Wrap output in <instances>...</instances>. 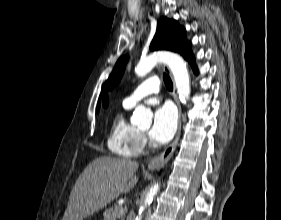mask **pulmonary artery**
I'll use <instances>...</instances> for the list:
<instances>
[{"mask_svg": "<svg viewBox=\"0 0 281 220\" xmlns=\"http://www.w3.org/2000/svg\"><path fill=\"white\" fill-rule=\"evenodd\" d=\"M160 84V80L156 76L146 79L124 99V103L133 107L148 96L158 93Z\"/></svg>", "mask_w": 281, "mask_h": 220, "instance_id": "obj_1", "label": "pulmonary artery"}]
</instances>
